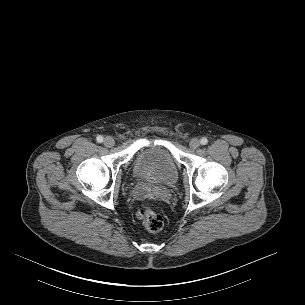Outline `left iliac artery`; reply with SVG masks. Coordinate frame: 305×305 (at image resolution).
I'll use <instances>...</instances> for the list:
<instances>
[{"mask_svg": "<svg viewBox=\"0 0 305 305\" xmlns=\"http://www.w3.org/2000/svg\"><path fill=\"white\" fill-rule=\"evenodd\" d=\"M200 142L202 145H206L208 143V140L206 137H203Z\"/></svg>", "mask_w": 305, "mask_h": 305, "instance_id": "1", "label": "left iliac artery"}]
</instances>
